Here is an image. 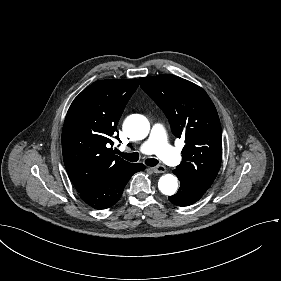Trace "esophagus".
I'll list each match as a JSON object with an SVG mask.
<instances>
[{"label":"esophagus","mask_w":281,"mask_h":281,"mask_svg":"<svg viewBox=\"0 0 281 281\" xmlns=\"http://www.w3.org/2000/svg\"><path fill=\"white\" fill-rule=\"evenodd\" d=\"M155 173H164L166 171V167L163 165L155 166L152 168Z\"/></svg>","instance_id":"34e87169"}]
</instances>
